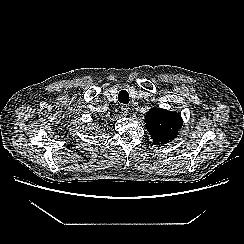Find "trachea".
<instances>
[{
	"instance_id": "trachea-1",
	"label": "trachea",
	"mask_w": 244,
	"mask_h": 244,
	"mask_svg": "<svg viewBox=\"0 0 244 244\" xmlns=\"http://www.w3.org/2000/svg\"><path fill=\"white\" fill-rule=\"evenodd\" d=\"M118 101L123 104L129 103V94L126 90H121L118 94Z\"/></svg>"
}]
</instances>
